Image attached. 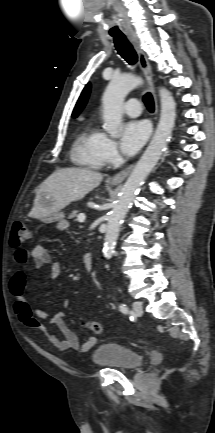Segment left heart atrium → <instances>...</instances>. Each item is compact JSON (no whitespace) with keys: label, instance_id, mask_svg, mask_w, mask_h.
I'll return each instance as SVG.
<instances>
[{"label":"left heart atrium","instance_id":"obj_1","mask_svg":"<svg viewBox=\"0 0 215 433\" xmlns=\"http://www.w3.org/2000/svg\"><path fill=\"white\" fill-rule=\"evenodd\" d=\"M149 136V126L145 121L132 120L123 125L121 149L126 155L135 154L146 142Z\"/></svg>","mask_w":215,"mask_h":433}]
</instances>
